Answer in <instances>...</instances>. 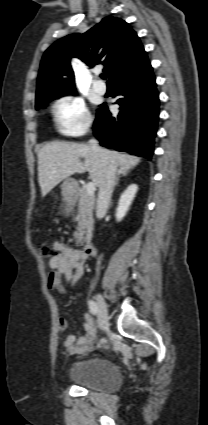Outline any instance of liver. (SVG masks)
Returning a JSON list of instances; mask_svg holds the SVG:
<instances>
[{"mask_svg": "<svg viewBox=\"0 0 208 425\" xmlns=\"http://www.w3.org/2000/svg\"><path fill=\"white\" fill-rule=\"evenodd\" d=\"M110 154L117 165L126 169H133L140 158L116 151L102 149ZM84 158V162L80 161ZM105 156L94 151L91 146L79 143L54 141L45 144L38 151V180L41 195L45 197L63 179L75 173L88 171L96 186H100Z\"/></svg>", "mask_w": 208, "mask_h": 425, "instance_id": "1", "label": "liver"}]
</instances>
